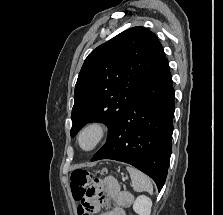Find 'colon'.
I'll list each match as a JSON object with an SVG mask.
<instances>
[{"mask_svg":"<svg viewBox=\"0 0 223 215\" xmlns=\"http://www.w3.org/2000/svg\"><path fill=\"white\" fill-rule=\"evenodd\" d=\"M92 176L85 170H75L71 173L70 186L74 199L78 202V209L83 215H91V206L83 202L84 196Z\"/></svg>","mask_w":223,"mask_h":215,"instance_id":"obj_1","label":"colon"}]
</instances>
